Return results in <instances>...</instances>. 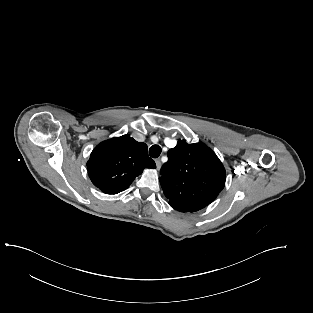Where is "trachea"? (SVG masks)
I'll return each mask as SVG.
<instances>
[{
	"label": "trachea",
	"instance_id": "3493384b",
	"mask_svg": "<svg viewBox=\"0 0 313 313\" xmlns=\"http://www.w3.org/2000/svg\"><path fill=\"white\" fill-rule=\"evenodd\" d=\"M161 154V147L159 145H153L150 147L149 149V155L152 157V158H157L159 157Z\"/></svg>",
	"mask_w": 313,
	"mask_h": 313
}]
</instances>
